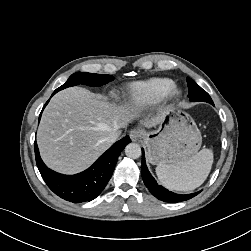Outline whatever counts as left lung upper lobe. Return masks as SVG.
Wrapping results in <instances>:
<instances>
[{"mask_svg": "<svg viewBox=\"0 0 251 251\" xmlns=\"http://www.w3.org/2000/svg\"><path fill=\"white\" fill-rule=\"evenodd\" d=\"M187 84L189 88L188 97L191 102L203 101L214 105L209 94L205 90H203L194 80L187 77Z\"/></svg>", "mask_w": 251, "mask_h": 251, "instance_id": "obj_1", "label": "left lung upper lobe"}]
</instances>
